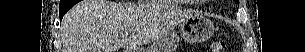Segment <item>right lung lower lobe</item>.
<instances>
[{
  "label": "right lung lower lobe",
  "instance_id": "98d812e1",
  "mask_svg": "<svg viewBox=\"0 0 305 52\" xmlns=\"http://www.w3.org/2000/svg\"><path fill=\"white\" fill-rule=\"evenodd\" d=\"M77 0H61L60 7H59V16L60 20H62L64 14L77 3Z\"/></svg>",
  "mask_w": 305,
  "mask_h": 52
}]
</instances>
